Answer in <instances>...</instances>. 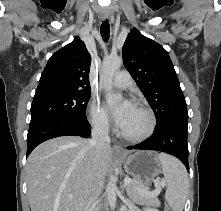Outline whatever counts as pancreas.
<instances>
[{"mask_svg": "<svg viewBox=\"0 0 221 211\" xmlns=\"http://www.w3.org/2000/svg\"><path fill=\"white\" fill-rule=\"evenodd\" d=\"M139 189H145V186L136 180H132V183L126 186L127 194L132 201L153 206L160 205L159 200L156 198L158 192H154L155 197H145L140 193Z\"/></svg>", "mask_w": 221, "mask_h": 211, "instance_id": "pancreas-1", "label": "pancreas"}]
</instances>
